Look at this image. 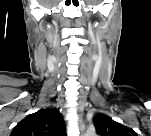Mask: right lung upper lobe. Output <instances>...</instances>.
<instances>
[{
    "label": "right lung upper lobe",
    "mask_w": 151,
    "mask_h": 136,
    "mask_svg": "<svg viewBox=\"0 0 151 136\" xmlns=\"http://www.w3.org/2000/svg\"><path fill=\"white\" fill-rule=\"evenodd\" d=\"M65 125L56 109H40L27 115L13 129L12 136H64Z\"/></svg>",
    "instance_id": "right-lung-upper-lobe-1"
}]
</instances>
